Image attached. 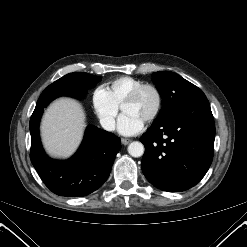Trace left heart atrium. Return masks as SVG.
Instances as JSON below:
<instances>
[{"instance_id":"left-heart-atrium-1","label":"left heart atrium","mask_w":247,"mask_h":247,"mask_svg":"<svg viewBox=\"0 0 247 247\" xmlns=\"http://www.w3.org/2000/svg\"><path fill=\"white\" fill-rule=\"evenodd\" d=\"M143 127L144 120L133 114L124 113L118 120V131L125 136L137 134Z\"/></svg>"}]
</instances>
